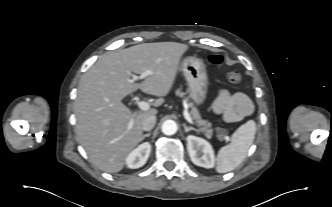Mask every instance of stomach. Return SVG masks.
Segmentation results:
<instances>
[{
	"label": "stomach",
	"instance_id": "stomach-1",
	"mask_svg": "<svg viewBox=\"0 0 332 207\" xmlns=\"http://www.w3.org/2000/svg\"><path fill=\"white\" fill-rule=\"evenodd\" d=\"M181 70L188 83L190 97L197 105H201L208 92V76L205 64L199 58L187 57L181 64Z\"/></svg>",
	"mask_w": 332,
	"mask_h": 207
}]
</instances>
